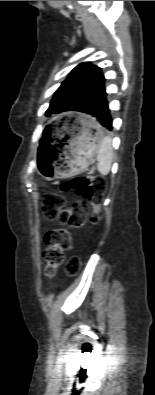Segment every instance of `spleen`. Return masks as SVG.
I'll return each mask as SVG.
<instances>
[{
    "label": "spleen",
    "mask_w": 155,
    "mask_h": 395,
    "mask_svg": "<svg viewBox=\"0 0 155 395\" xmlns=\"http://www.w3.org/2000/svg\"><path fill=\"white\" fill-rule=\"evenodd\" d=\"M112 159L113 148L111 138L109 136H105L101 139L97 154V169L102 175H107L110 172Z\"/></svg>",
    "instance_id": "1"
}]
</instances>
